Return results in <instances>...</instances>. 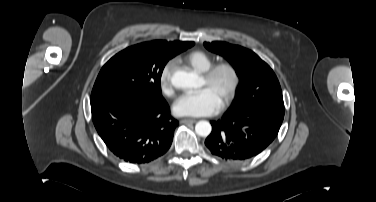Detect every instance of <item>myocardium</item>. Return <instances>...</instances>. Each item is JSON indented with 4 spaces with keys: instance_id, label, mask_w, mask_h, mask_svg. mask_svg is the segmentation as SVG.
<instances>
[{
    "instance_id": "myocardium-1",
    "label": "myocardium",
    "mask_w": 376,
    "mask_h": 202,
    "mask_svg": "<svg viewBox=\"0 0 376 202\" xmlns=\"http://www.w3.org/2000/svg\"><path fill=\"white\" fill-rule=\"evenodd\" d=\"M227 73L230 77V83L226 94L220 104L221 109H225L234 99L240 85L241 77L238 68L232 62H220L212 65L208 70L203 72L202 77L207 84L215 82L221 73Z\"/></svg>"
}]
</instances>
